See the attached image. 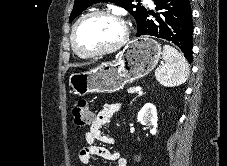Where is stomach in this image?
<instances>
[{
	"mask_svg": "<svg viewBox=\"0 0 227 166\" xmlns=\"http://www.w3.org/2000/svg\"><path fill=\"white\" fill-rule=\"evenodd\" d=\"M161 54V46L157 41L148 37L134 39L114 61L104 62L87 72L70 74L69 86L79 97L88 93L119 91L127 83L150 73Z\"/></svg>",
	"mask_w": 227,
	"mask_h": 166,
	"instance_id": "1",
	"label": "stomach"
}]
</instances>
